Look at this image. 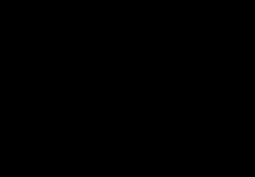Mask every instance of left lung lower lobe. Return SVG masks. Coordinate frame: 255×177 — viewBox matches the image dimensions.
Listing matches in <instances>:
<instances>
[{
	"label": "left lung lower lobe",
	"mask_w": 255,
	"mask_h": 177,
	"mask_svg": "<svg viewBox=\"0 0 255 177\" xmlns=\"http://www.w3.org/2000/svg\"><path fill=\"white\" fill-rule=\"evenodd\" d=\"M163 122L166 123V122H169V121H168V119H166V118L164 119V118H163Z\"/></svg>",
	"instance_id": "left-lung-lower-lobe-1"
}]
</instances>
